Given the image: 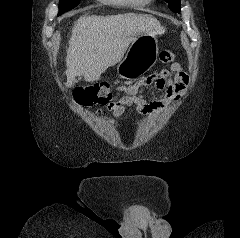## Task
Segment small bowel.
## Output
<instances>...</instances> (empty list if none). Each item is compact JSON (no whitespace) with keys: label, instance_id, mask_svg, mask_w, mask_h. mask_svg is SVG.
I'll list each match as a JSON object with an SVG mask.
<instances>
[{"label":"small bowel","instance_id":"obj_1","mask_svg":"<svg viewBox=\"0 0 240 238\" xmlns=\"http://www.w3.org/2000/svg\"><path fill=\"white\" fill-rule=\"evenodd\" d=\"M188 83V76L180 63H173L170 70H162L156 75L141 79L133 84L120 87L124 95L107 104L106 111L112 119L121 116L125 109L134 107L139 113L148 115L149 121L153 120L156 113H159L171 102L180 98ZM154 84L158 90H164L162 99L146 102L138 93L142 86Z\"/></svg>","mask_w":240,"mask_h":238}]
</instances>
